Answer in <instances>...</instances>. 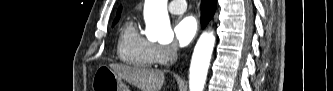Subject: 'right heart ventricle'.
<instances>
[{
    "label": "right heart ventricle",
    "instance_id": "right-heart-ventricle-1",
    "mask_svg": "<svg viewBox=\"0 0 333 91\" xmlns=\"http://www.w3.org/2000/svg\"><path fill=\"white\" fill-rule=\"evenodd\" d=\"M154 44L138 31L134 20H126L120 28L117 51L120 59L133 67L148 68L154 62Z\"/></svg>",
    "mask_w": 333,
    "mask_h": 91
}]
</instances>
